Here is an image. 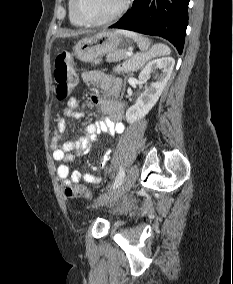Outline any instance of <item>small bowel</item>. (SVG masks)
Here are the masks:
<instances>
[{"label": "small bowel", "mask_w": 233, "mask_h": 284, "mask_svg": "<svg viewBox=\"0 0 233 284\" xmlns=\"http://www.w3.org/2000/svg\"><path fill=\"white\" fill-rule=\"evenodd\" d=\"M82 80L87 84L98 86L107 94L108 97L105 98L98 95H93L91 98V102L100 107L106 118L87 125L80 138L68 141H64L66 122L63 118L58 119L56 128L51 135L50 145L53 150L54 160L63 162L57 167L56 172L66 187H73L81 181L98 183L100 181L98 174L85 173L80 170L71 172L67 162L71 161L74 155L87 150L98 134L109 133L116 135L124 132V125L121 122L122 105L114 100V97L120 91L121 82L97 70L83 72ZM78 106V100L71 98L63 109V116L74 119L81 118L83 113L78 110ZM110 157L111 151L107 150L102 157L101 168L108 163Z\"/></svg>", "instance_id": "obj_1"}]
</instances>
